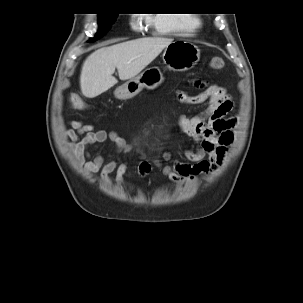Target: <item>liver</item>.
<instances>
[{"label": "liver", "mask_w": 303, "mask_h": 303, "mask_svg": "<svg viewBox=\"0 0 303 303\" xmlns=\"http://www.w3.org/2000/svg\"><path fill=\"white\" fill-rule=\"evenodd\" d=\"M170 38L144 37L102 47L87 57L80 74V88L87 98H94L113 87L120 80H128L147 67L167 45Z\"/></svg>", "instance_id": "liver-1"}]
</instances>
